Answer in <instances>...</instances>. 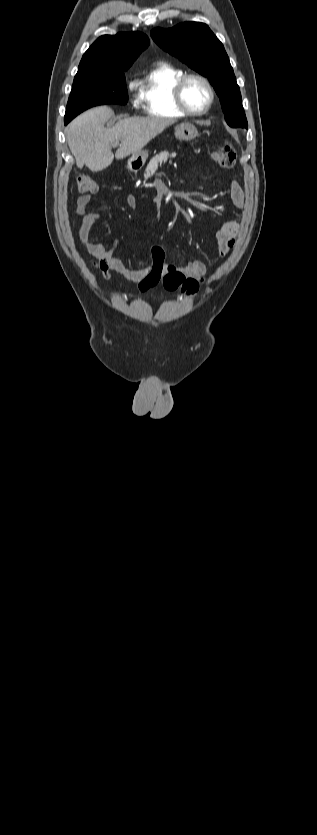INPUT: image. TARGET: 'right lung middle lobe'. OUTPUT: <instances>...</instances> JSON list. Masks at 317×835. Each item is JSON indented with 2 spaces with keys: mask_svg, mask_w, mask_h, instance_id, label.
I'll list each match as a JSON object with an SVG mask.
<instances>
[{
  "mask_svg": "<svg viewBox=\"0 0 317 835\" xmlns=\"http://www.w3.org/2000/svg\"><path fill=\"white\" fill-rule=\"evenodd\" d=\"M84 71L76 74L68 100L64 123L84 110L103 104H126L128 93L124 71Z\"/></svg>",
  "mask_w": 317,
  "mask_h": 835,
  "instance_id": "dd1d6c3e",
  "label": "right lung middle lobe"
}]
</instances>
